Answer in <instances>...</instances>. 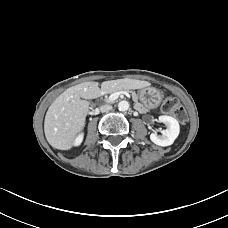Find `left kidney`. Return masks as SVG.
I'll list each match as a JSON object with an SVG mask.
<instances>
[{"label": "left kidney", "mask_w": 228, "mask_h": 228, "mask_svg": "<svg viewBox=\"0 0 228 228\" xmlns=\"http://www.w3.org/2000/svg\"><path fill=\"white\" fill-rule=\"evenodd\" d=\"M159 121L164 123L167 128L161 131V135L156 132L151 133L150 139L156 145L170 146L180 133L179 123L175 118L166 115L159 116Z\"/></svg>", "instance_id": "1"}]
</instances>
